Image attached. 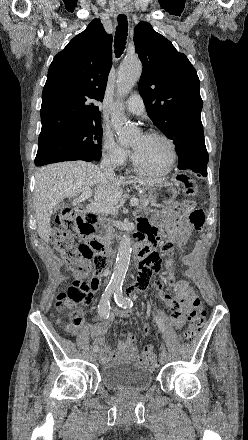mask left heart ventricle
I'll use <instances>...</instances> for the list:
<instances>
[{"mask_svg": "<svg viewBox=\"0 0 248 440\" xmlns=\"http://www.w3.org/2000/svg\"><path fill=\"white\" fill-rule=\"evenodd\" d=\"M131 147L135 162L143 169L159 171L168 165L170 150L159 138L141 135L132 142Z\"/></svg>", "mask_w": 248, "mask_h": 440, "instance_id": "b2bd125f", "label": "left heart ventricle"}]
</instances>
